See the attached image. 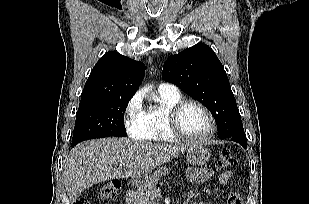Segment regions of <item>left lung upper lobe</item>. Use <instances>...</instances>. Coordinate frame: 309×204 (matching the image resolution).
Returning <instances> with one entry per match:
<instances>
[{
  "mask_svg": "<svg viewBox=\"0 0 309 204\" xmlns=\"http://www.w3.org/2000/svg\"><path fill=\"white\" fill-rule=\"evenodd\" d=\"M162 74L165 81L175 84L210 110L219 138L244 132L227 74L209 46L198 43L169 56Z\"/></svg>",
  "mask_w": 309,
  "mask_h": 204,
  "instance_id": "5c2ea615",
  "label": "left lung upper lobe"
}]
</instances>
